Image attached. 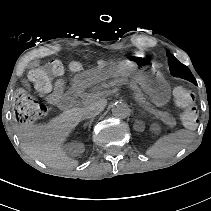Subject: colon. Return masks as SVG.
<instances>
[{
    "label": "colon",
    "instance_id": "obj_1",
    "mask_svg": "<svg viewBox=\"0 0 211 211\" xmlns=\"http://www.w3.org/2000/svg\"><path fill=\"white\" fill-rule=\"evenodd\" d=\"M138 60L121 59L118 61L100 60L97 66L104 68L109 66H128L138 64ZM84 64L80 61H71L65 66L61 61L52 60L44 65L34 68L29 73V80L33 84L37 93L46 97L53 88L54 81L64 74L65 70L80 71ZM176 104L182 109L181 121L187 128L193 129L198 124V109L195 104L194 94L183 87H178L174 91ZM47 114L45 104L32 98L26 91L19 90L15 94L13 103V118L23 125L31 124L42 119Z\"/></svg>",
    "mask_w": 211,
    "mask_h": 211
}]
</instances>
